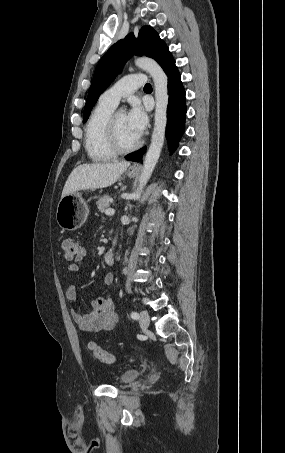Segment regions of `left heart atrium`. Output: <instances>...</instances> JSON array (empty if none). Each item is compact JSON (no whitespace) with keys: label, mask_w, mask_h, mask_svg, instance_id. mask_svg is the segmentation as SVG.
<instances>
[{"label":"left heart atrium","mask_w":285,"mask_h":453,"mask_svg":"<svg viewBox=\"0 0 285 453\" xmlns=\"http://www.w3.org/2000/svg\"><path fill=\"white\" fill-rule=\"evenodd\" d=\"M126 117L131 129L140 138L148 122L147 115L141 104L134 101Z\"/></svg>","instance_id":"obj_1"}]
</instances>
